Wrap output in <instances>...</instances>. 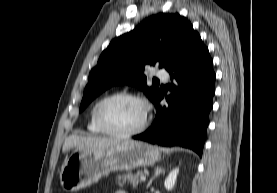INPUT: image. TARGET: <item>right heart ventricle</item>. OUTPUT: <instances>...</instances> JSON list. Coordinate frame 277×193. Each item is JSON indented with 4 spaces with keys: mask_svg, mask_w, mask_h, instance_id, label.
<instances>
[{
    "mask_svg": "<svg viewBox=\"0 0 277 193\" xmlns=\"http://www.w3.org/2000/svg\"><path fill=\"white\" fill-rule=\"evenodd\" d=\"M100 100L96 101L93 104V106L91 107L90 112H89V118H88V122H87V130L93 134H102L103 133L100 130V128L97 126V124L95 122V118H94V111Z\"/></svg>",
    "mask_w": 277,
    "mask_h": 193,
    "instance_id": "e07e8e85",
    "label": "right heart ventricle"
}]
</instances>
